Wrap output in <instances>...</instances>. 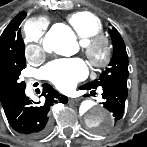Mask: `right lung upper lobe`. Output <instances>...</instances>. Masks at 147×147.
Returning a JSON list of instances; mask_svg holds the SVG:
<instances>
[{
    "label": "right lung upper lobe",
    "instance_id": "obj_1",
    "mask_svg": "<svg viewBox=\"0 0 147 147\" xmlns=\"http://www.w3.org/2000/svg\"><path fill=\"white\" fill-rule=\"evenodd\" d=\"M21 14H18L6 27L4 32L2 33L0 37V70L5 66L7 63L11 51H12V45L11 40L12 37L17 38L18 34L20 33L19 27H18V20Z\"/></svg>",
    "mask_w": 147,
    "mask_h": 147
}]
</instances>
